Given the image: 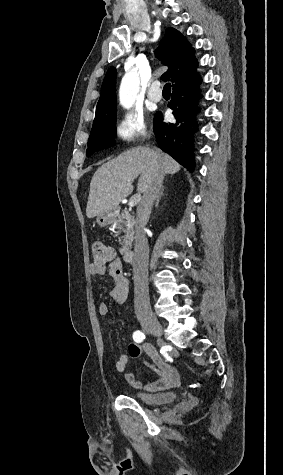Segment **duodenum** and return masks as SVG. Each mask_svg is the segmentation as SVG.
<instances>
[{"instance_id":"obj_1","label":"duodenum","mask_w":283,"mask_h":475,"mask_svg":"<svg viewBox=\"0 0 283 475\" xmlns=\"http://www.w3.org/2000/svg\"><path fill=\"white\" fill-rule=\"evenodd\" d=\"M122 258L124 262L131 263L134 259V251L132 249H126L123 251Z\"/></svg>"}]
</instances>
